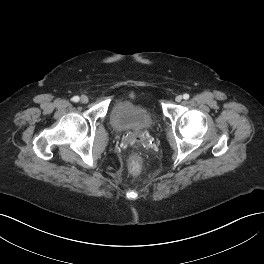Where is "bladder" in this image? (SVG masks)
Returning <instances> with one entry per match:
<instances>
[{"label": "bladder", "instance_id": "1", "mask_svg": "<svg viewBox=\"0 0 264 264\" xmlns=\"http://www.w3.org/2000/svg\"><path fill=\"white\" fill-rule=\"evenodd\" d=\"M110 120L117 131L148 129L155 122L152 111L134 100L116 101L110 111Z\"/></svg>", "mask_w": 264, "mask_h": 264}]
</instances>
